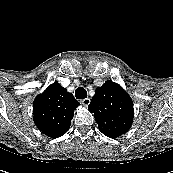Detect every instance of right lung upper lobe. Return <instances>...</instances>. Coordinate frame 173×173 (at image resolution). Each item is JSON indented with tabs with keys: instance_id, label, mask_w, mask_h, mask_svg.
Wrapping results in <instances>:
<instances>
[{
	"instance_id": "obj_1",
	"label": "right lung upper lobe",
	"mask_w": 173,
	"mask_h": 173,
	"mask_svg": "<svg viewBox=\"0 0 173 173\" xmlns=\"http://www.w3.org/2000/svg\"><path fill=\"white\" fill-rule=\"evenodd\" d=\"M79 105L74 96L59 83L51 84L33 103V119L39 130L52 138L64 135L70 128L74 110Z\"/></svg>"
}]
</instances>
